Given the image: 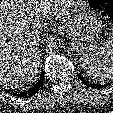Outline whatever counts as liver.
Masks as SVG:
<instances>
[{
	"label": "liver",
	"instance_id": "obj_1",
	"mask_svg": "<svg viewBox=\"0 0 113 113\" xmlns=\"http://www.w3.org/2000/svg\"><path fill=\"white\" fill-rule=\"evenodd\" d=\"M69 12V0H0V85L18 89L35 80L38 26L45 18L61 19Z\"/></svg>",
	"mask_w": 113,
	"mask_h": 113
}]
</instances>
